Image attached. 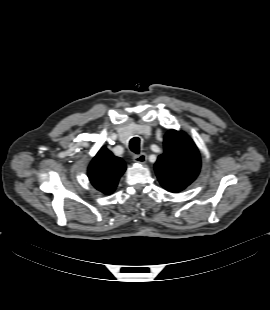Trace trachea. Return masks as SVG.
<instances>
[{
    "label": "trachea",
    "instance_id": "obj_1",
    "mask_svg": "<svg viewBox=\"0 0 270 310\" xmlns=\"http://www.w3.org/2000/svg\"><path fill=\"white\" fill-rule=\"evenodd\" d=\"M130 150L136 154L140 152V139L138 137H134L129 142Z\"/></svg>",
    "mask_w": 270,
    "mask_h": 310
}]
</instances>
